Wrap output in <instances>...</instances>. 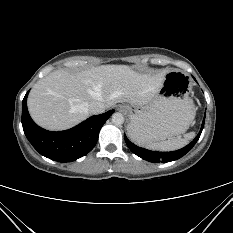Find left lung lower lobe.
Wrapping results in <instances>:
<instances>
[{
	"instance_id": "left-lung-lower-lobe-1",
	"label": "left lung lower lobe",
	"mask_w": 233,
	"mask_h": 233,
	"mask_svg": "<svg viewBox=\"0 0 233 233\" xmlns=\"http://www.w3.org/2000/svg\"><path fill=\"white\" fill-rule=\"evenodd\" d=\"M203 127H204V120H203L201 129H200L198 135L196 136V138L190 144L185 146L184 148L177 150V151H173V152L150 151V150L136 146L131 141H129L125 135H124V138H125L126 144L129 147V149L135 155L143 158L144 160H147L149 162H154V163L170 162V161H174V160L181 158L182 156H184L187 152H189L192 149V147L198 141V139L201 135V132L203 130Z\"/></svg>"
}]
</instances>
